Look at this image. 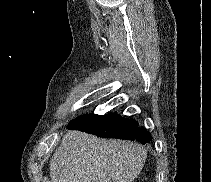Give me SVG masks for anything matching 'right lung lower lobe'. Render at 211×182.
<instances>
[{"mask_svg": "<svg viewBox=\"0 0 211 182\" xmlns=\"http://www.w3.org/2000/svg\"><path fill=\"white\" fill-rule=\"evenodd\" d=\"M70 130H79L103 138L137 140L146 144L151 135L133 119L122 118L116 113L95 115L93 113L73 119L67 126Z\"/></svg>", "mask_w": 211, "mask_h": 182, "instance_id": "98d812e1", "label": "right lung lower lobe"}]
</instances>
